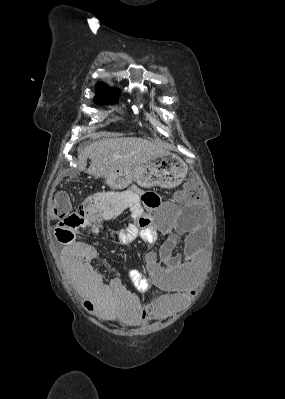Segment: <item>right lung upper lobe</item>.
<instances>
[{
    "instance_id": "cb5924a9",
    "label": "right lung upper lobe",
    "mask_w": 285,
    "mask_h": 399,
    "mask_svg": "<svg viewBox=\"0 0 285 399\" xmlns=\"http://www.w3.org/2000/svg\"><path fill=\"white\" fill-rule=\"evenodd\" d=\"M96 88L97 96L95 98V101L118 100L120 90H112L103 83H97Z\"/></svg>"
}]
</instances>
